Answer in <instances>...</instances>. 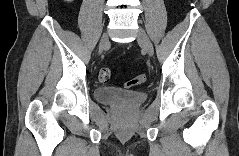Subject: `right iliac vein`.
Wrapping results in <instances>:
<instances>
[{
	"label": "right iliac vein",
	"mask_w": 239,
	"mask_h": 156,
	"mask_svg": "<svg viewBox=\"0 0 239 156\" xmlns=\"http://www.w3.org/2000/svg\"><path fill=\"white\" fill-rule=\"evenodd\" d=\"M109 39L107 33H104L101 37L100 44H99V54L103 52L105 47L108 45Z\"/></svg>",
	"instance_id": "1"
}]
</instances>
